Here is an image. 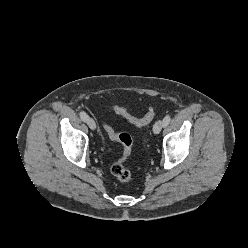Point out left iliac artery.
Wrapping results in <instances>:
<instances>
[{"label": "left iliac artery", "mask_w": 248, "mask_h": 248, "mask_svg": "<svg viewBox=\"0 0 248 248\" xmlns=\"http://www.w3.org/2000/svg\"><path fill=\"white\" fill-rule=\"evenodd\" d=\"M171 117L169 115L165 116L163 119V126H167L170 123Z\"/></svg>", "instance_id": "1"}]
</instances>
